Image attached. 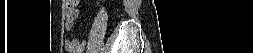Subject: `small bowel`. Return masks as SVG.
I'll use <instances>...</instances> for the list:
<instances>
[{
    "instance_id": "small-bowel-1",
    "label": "small bowel",
    "mask_w": 253,
    "mask_h": 53,
    "mask_svg": "<svg viewBox=\"0 0 253 53\" xmlns=\"http://www.w3.org/2000/svg\"><path fill=\"white\" fill-rule=\"evenodd\" d=\"M72 2L76 3L77 1L72 0ZM65 27L68 31H70L73 27V20L69 17V15L67 16ZM65 48L71 53H82L84 43L80 39H69L65 41Z\"/></svg>"
}]
</instances>
